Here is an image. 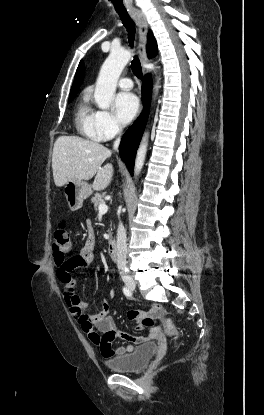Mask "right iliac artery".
Instances as JSON below:
<instances>
[{"label":"right iliac artery","instance_id":"right-iliac-artery-1","mask_svg":"<svg viewBox=\"0 0 264 415\" xmlns=\"http://www.w3.org/2000/svg\"><path fill=\"white\" fill-rule=\"evenodd\" d=\"M123 293H124L126 296H128V297H131V296H132V291H131L129 288H127V287H124V288H123Z\"/></svg>","mask_w":264,"mask_h":415}]
</instances>
